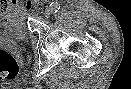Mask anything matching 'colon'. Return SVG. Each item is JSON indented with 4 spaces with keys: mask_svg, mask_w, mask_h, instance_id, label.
<instances>
[{
    "mask_svg": "<svg viewBox=\"0 0 131 89\" xmlns=\"http://www.w3.org/2000/svg\"><path fill=\"white\" fill-rule=\"evenodd\" d=\"M20 71V66L13 54L0 50V80L13 79Z\"/></svg>",
    "mask_w": 131,
    "mask_h": 89,
    "instance_id": "obj_1",
    "label": "colon"
}]
</instances>
